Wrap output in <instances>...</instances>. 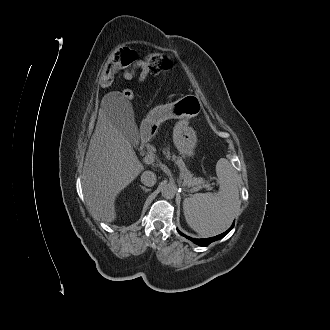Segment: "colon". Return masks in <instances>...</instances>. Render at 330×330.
<instances>
[{
  "label": "colon",
  "instance_id": "5ec220e1",
  "mask_svg": "<svg viewBox=\"0 0 330 330\" xmlns=\"http://www.w3.org/2000/svg\"><path fill=\"white\" fill-rule=\"evenodd\" d=\"M136 59H138L137 55L131 48L123 47L115 51L101 71V81L103 83H111L119 71L132 66ZM144 61L152 74L169 70L172 66V59L168 54L156 51L148 53ZM122 95L131 99L133 92L131 90H123Z\"/></svg>",
  "mask_w": 330,
  "mask_h": 330
}]
</instances>
